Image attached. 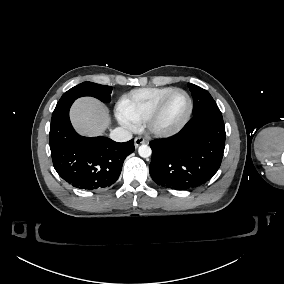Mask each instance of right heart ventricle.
Instances as JSON below:
<instances>
[{"instance_id": "right-heart-ventricle-1", "label": "right heart ventricle", "mask_w": 284, "mask_h": 284, "mask_svg": "<svg viewBox=\"0 0 284 284\" xmlns=\"http://www.w3.org/2000/svg\"><path fill=\"white\" fill-rule=\"evenodd\" d=\"M173 89L172 86H158L130 90L120 96L117 111L129 125H138L158 100Z\"/></svg>"}]
</instances>
